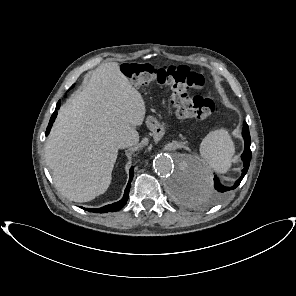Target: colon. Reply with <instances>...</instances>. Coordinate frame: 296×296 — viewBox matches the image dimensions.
Returning a JSON list of instances; mask_svg holds the SVG:
<instances>
[{"instance_id": "colon-1", "label": "colon", "mask_w": 296, "mask_h": 296, "mask_svg": "<svg viewBox=\"0 0 296 296\" xmlns=\"http://www.w3.org/2000/svg\"><path fill=\"white\" fill-rule=\"evenodd\" d=\"M122 72L133 85L141 87L150 83L166 85L172 91V103L179 118L206 119L219 112V106L206 96L191 97L190 89H201L205 79L201 74L191 71L187 66H160L127 63Z\"/></svg>"}]
</instances>
